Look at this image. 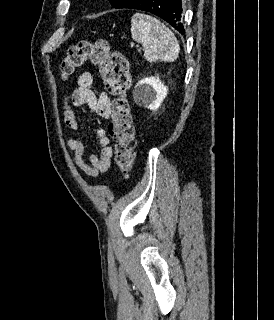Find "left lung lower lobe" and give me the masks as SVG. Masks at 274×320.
<instances>
[{
    "instance_id": "left-lung-lower-lobe-1",
    "label": "left lung lower lobe",
    "mask_w": 274,
    "mask_h": 320,
    "mask_svg": "<svg viewBox=\"0 0 274 320\" xmlns=\"http://www.w3.org/2000/svg\"><path fill=\"white\" fill-rule=\"evenodd\" d=\"M123 8L151 12L169 22L181 34L185 33L181 22V0H130Z\"/></svg>"
}]
</instances>
